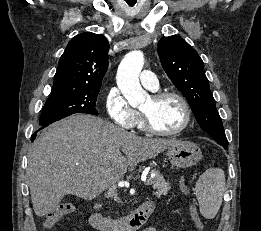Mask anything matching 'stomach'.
Returning <instances> with one entry per match:
<instances>
[{
  "label": "stomach",
  "instance_id": "0dacf381",
  "mask_svg": "<svg viewBox=\"0 0 261 231\" xmlns=\"http://www.w3.org/2000/svg\"><path fill=\"white\" fill-rule=\"evenodd\" d=\"M170 163L177 168L196 165L202 158L198 145L189 141H178L167 148Z\"/></svg>",
  "mask_w": 261,
  "mask_h": 231
}]
</instances>
